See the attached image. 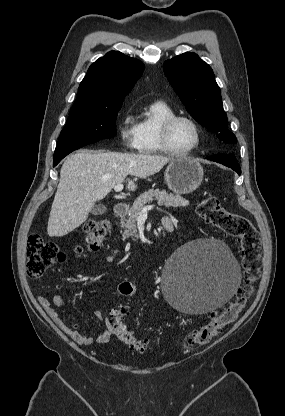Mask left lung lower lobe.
<instances>
[{"mask_svg": "<svg viewBox=\"0 0 285 416\" xmlns=\"http://www.w3.org/2000/svg\"><path fill=\"white\" fill-rule=\"evenodd\" d=\"M207 159L221 163L234 171H236L239 175L241 174L240 166L238 165V162L233 154L224 155V154H218L211 157H207Z\"/></svg>", "mask_w": 285, "mask_h": 416, "instance_id": "1", "label": "left lung lower lobe"}]
</instances>
